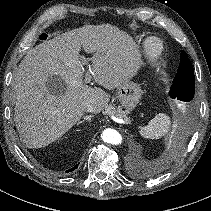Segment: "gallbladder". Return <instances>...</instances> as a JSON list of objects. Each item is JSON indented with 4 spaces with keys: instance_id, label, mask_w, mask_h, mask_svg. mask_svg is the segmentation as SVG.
<instances>
[{
    "instance_id": "bac80fb5",
    "label": "gallbladder",
    "mask_w": 211,
    "mask_h": 211,
    "mask_svg": "<svg viewBox=\"0 0 211 211\" xmlns=\"http://www.w3.org/2000/svg\"><path fill=\"white\" fill-rule=\"evenodd\" d=\"M47 87L48 89L55 95H58L61 93V91H56V86L59 85V86H63V81L62 79L59 77V76H56V75H53V76H50L49 79H48V82H47Z\"/></svg>"
}]
</instances>
